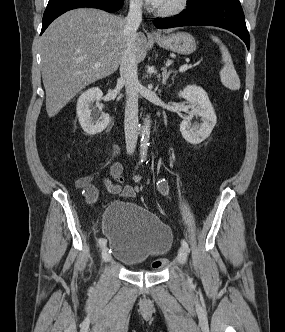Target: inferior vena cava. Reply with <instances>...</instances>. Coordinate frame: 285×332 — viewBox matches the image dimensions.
I'll list each match as a JSON object with an SVG mask.
<instances>
[{
    "mask_svg": "<svg viewBox=\"0 0 285 332\" xmlns=\"http://www.w3.org/2000/svg\"><path fill=\"white\" fill-rule=\"evenodd\" d=\"M142 0H130L124 31L126 46L120 61V76L126 89L125 141L128 154L135 151L138 138V88L137 61L134 54L137 29L142 21Z\"/></svg>",
    "mask_w": 285,
    "mask_h": 332,
    "instance_id": "1",
    "label": "inferior vena cava"
}]
</instances>
